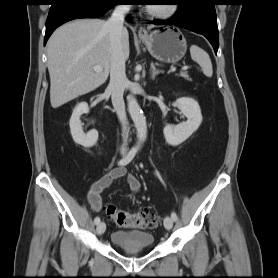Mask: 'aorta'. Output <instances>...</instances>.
<instances>
[{"label":"aorta","instance_id":"obj_1","mask_svg":"<svg viewBox=\"0 0 278 278\" xmlns=\"http://www.w3.org/2000/svg\"><path fill=\"white\" fill-rule=\"evenodd\" d=\"M127 105L129 114L134 122L136 128L138 143L136 149H139L147 137V124L146 118L141 110L134 95L130 94L127 98Z\"/></svg>","mask_w":278,"mask_h":278}]
</instances>
